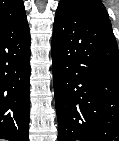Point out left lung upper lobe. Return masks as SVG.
I'll use <instances>...</instances> for the list:
<instances>
[{"mask_svg": "<svg viewBox=\"0 0 119 141\" xmlns=\"http://www.w3.org/2000/svg\"><path fill=\"white\" fill-rule=\"evenodd\" d=\"M57 10H74L87 15L109 18L100 0H61Z\"/></svg>", "mask_w": 119, "mask_h": 141, "instance_id": "obj_1", "label": "left lung upper lobe"}]
</instances>
